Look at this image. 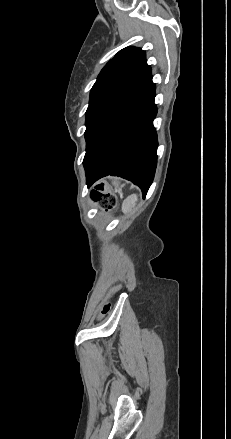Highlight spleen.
Listing matches in <instances>:
<instances>
[{"instance_id": "1", "label": "spleen", "mask_w": 231, "mask_h": 439, "mask_svg": "<svg viewBox=\"0 0 231 439\" xmlns=\"http://www.w3.org/2000/svg\"><path fill=\"white\" fill-rule=\"evenodd\" d=\"M137 200H138V197L136 194H132V195L128 196L122 204L123 213L124 214L131 213L135 209Z\"/></svg>"}]
</instances>
